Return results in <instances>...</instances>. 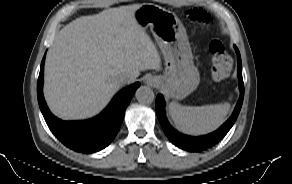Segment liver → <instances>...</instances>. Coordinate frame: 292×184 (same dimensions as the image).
Instances as JSON below:
<instances>
[{"label": "liver", "instance_id": "obj_1", "mask_svg": "<svg viewBox=\"0 0 292 184\" xmlns=\"http://www.w3.org/2000/svg\"><path fill=\"white\" fill-rule=\"evenodd\" d=\"M138 7H120L83 16L59 33L45 61L44 97L56 116L82 120L99 114L126 76L156 69L160 58L138 26ZM130 82V83H131Z\"/></svg>", "mask_w": 292, "mask_h": 184}]
</instances>
